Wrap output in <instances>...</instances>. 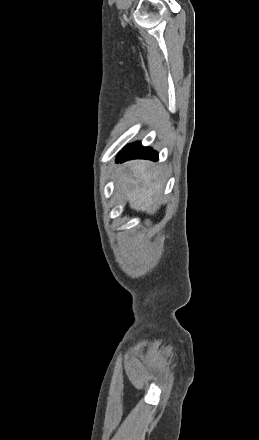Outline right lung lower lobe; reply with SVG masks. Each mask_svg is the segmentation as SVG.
Wrapping results in <instances>:
<instances>
[{"instance_id": "obj_1", "label": "right lung lower lobe", "mask_w": 259, "mask_h": 440, "mask_svg": "<svg viewBox=\"0 0 259 440\" xmlns=\"http://www.w3.org/2000/svg\"><path fill=\"white\" fill-rule=\"evenodd\" d=\"M129 159H150L156 161L158 160V154L151 148L143 147L141 143L137 142L125 147L119 154L117 162H123Z\"/></svg>"}]
</instances>
